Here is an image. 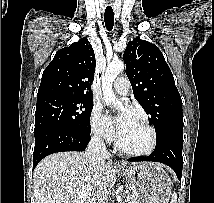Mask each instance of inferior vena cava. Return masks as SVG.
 Wrapping results in <instances>:
<instances>
[{
    "label": "inferior vena cava",
    "instance_id": "1",
    "mask_svg": "<svg viewBox=\"0 0 214 203\" xmlns=\"http://www.w3.org/2000/svg\"><path fill=\"white\" fill-rule=\"evenodd\" d=\"M89 162L97 165L102 164L109 158V153L103 142L102 132L95 133L88 145L85 153ZM91 203H108V192L106 189L100 188L97 195L92 199Z\"/></svg>",
    "mask_w": 214,
    "mask_h": 203
}]
</instances>
